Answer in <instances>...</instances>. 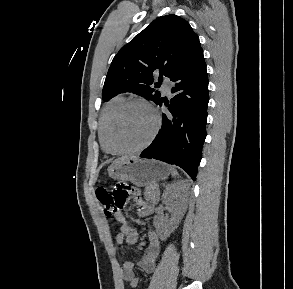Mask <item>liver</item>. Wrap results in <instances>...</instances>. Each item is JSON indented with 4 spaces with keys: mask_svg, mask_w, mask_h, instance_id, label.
<instances>
[{
    "mask_svg": "<svg viewBox=\"0 0 293 289\" xmlns=\"http://www.w3.org/2000/svg\"><path fill=\"white\" fill-rule=\"evenodd\" d=\"M127 158H130V157L124 156V157H121V158L116 159L115 161H120V160H124V159H127Z\"/></svg>",
    "mask_w": 293,
    "mask_h": 289,
    "instance_id": "1",
    "label": "liver"
}]
</instances>
